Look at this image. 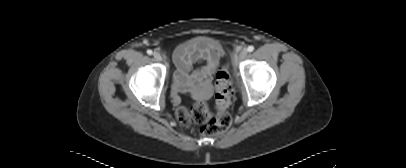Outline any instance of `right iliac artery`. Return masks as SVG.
I'll list each match as a JSON object with an SVG mask.
<instances>
[{
    "label": "right iliac artery",
    "mask_w": 406,
    "mask_h": 168,
    "mask_svg": "<svg viewBox=\"0 0 406 168\" xmlns=\"http://www.w3.org/2000/svg\"><path fill=\"white\" fill-rule=\"evenodd\" d=\"M147 54H148V55H152V54H153L152 50H150V49L147 50Z\"/></svg>",
    "instance_id": "obj_1"
}]
</instances>
